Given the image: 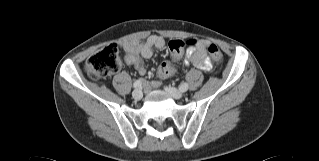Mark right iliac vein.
Masks as SVG:
<instances>
[{"mask_svg": "<svg viewBox=\"0 0 319 161\" xmlns=\"http://www.w3.org/2000/svg\"><path fill=\"white\" fill-rule=\"evenodd\" d=\"M132 96L135 100H140L143 96L142 91L139 89H136L132 92Z\"/></svg>", "mask_w": 319, "mask_h": 161, "instance_id": "63e3f726", "label": "right iliac vein"}]
</instances>
